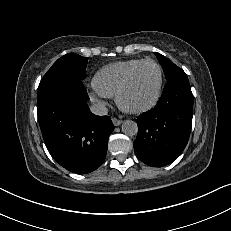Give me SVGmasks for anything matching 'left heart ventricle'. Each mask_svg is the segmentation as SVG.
Listing matches in <instances>:
<instances>
[{"label":"left heart ventricle","mask_w":231,"mask_h":231,"mask_svg":"<svg viewBox=\"0 0 231 231\" xmlns=\"http://www.w3.org/2000/svg\"><path fill=\"white\" fill-rule=\"evenodd\" d=\"M158 80L159 75L155 65L141 66L123 96L124 104L129 108H139L147 104L156 92Z\"/></svg>","instance_id":"b2bd125f"}]
</instances>
